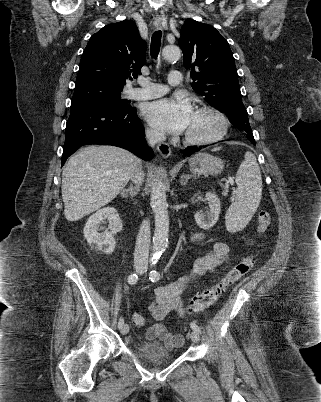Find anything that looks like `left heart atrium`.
I'll list each match as a JSON object with an SVG mask.
<instances>
[{
    "label": "left heart atrium",
    "mask_w": 321,
    "mask_h": 402,
    "mask_svg": "<svg viewBox=\"0 0 321 402\" xmlns=\"http://www.w3.org/2000/svg\"><path fill=\"white\" fill-rule=\"evenodd\" d=\"M191 104L182 98H165L147 103L143 116L156 130L169 133L186 131L193 116Z\"/></svg>",
    "instance_id": "39dd6f15"
}]
</instances>
